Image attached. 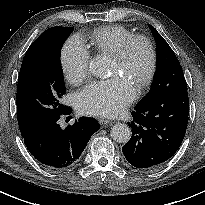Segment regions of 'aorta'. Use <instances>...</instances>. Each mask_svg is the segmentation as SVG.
<instances>
[{"instance_id": "762f6f07", "label": "aorta", "mask_w": 205, "mask_h": 205, "mask_svg": "<svg viewBox=\"0 0 205 205\" xmlns=\"http://www.w3.org/2000/svg\"><path fill=\"white\" fill-rule=\"evenodd\" d=\"M90 72L98 77L107 74V62L103 57H96L89 64ZM110 135L118 143H126L131 138V130L126 124L117 123L111 128Z\"/></svg>"}]
</instances>
